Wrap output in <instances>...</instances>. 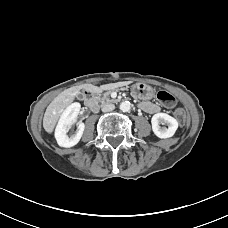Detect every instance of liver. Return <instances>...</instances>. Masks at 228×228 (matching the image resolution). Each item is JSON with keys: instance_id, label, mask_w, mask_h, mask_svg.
I'll return each mask as SVG.
<instances>
[{"instance_id": "liver-1", "label": "liver", "mask_w": 228, "mask_h": 228, "mask_svg": "<svg viewBox=\"0 0 228 228\" xmlns=\"http://www.w3.org/2000/svg\"><path fill=\"white\" fill-rule=\"evenodd\" d=\"M125 84H128V82L109 84L101 87H97L92 84H83L64 90L52 100V102L48 105L45 111L43 118V127L45 131L49 134L53 132L59 118L61 117L65 109L74 101L75 97L79 94L81 89L91 93H100L102 90Z\"/></svg>"}]
</instances>
